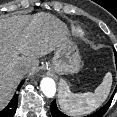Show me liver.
Segmentation results:
<instances>
[{"mask_svg":"<svg viewBox=\"0 0 117 117\" xmlns=\"http://www.w3.org/2000/svg\"><path fill=\"white\" fill-rule=\"evenodd\" d=\"M66 38L64 24L49 13L0 19V109L22 79L20 70L35 71L38 58L51 53Z\"/></svg>","mask_w":117,"mask_h":117,"instance_id":"6515ba94","label":"liver"}]
</instances>
